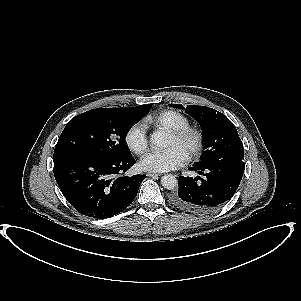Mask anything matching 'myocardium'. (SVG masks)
<instances>
[{
	"instance_id": "obj_1",
	"label": "myocardium",
	"mask_w": 301,
	"mask_h": 301,
	"mask_svg": "<svg viewBox=\"0 0 301 301\" xmlns=\"http://www.w3.org/2000/svg\"><path fill=\"white\" fill-rule=\"evenodd\" d=\"M167 136L170 140L184 144L183 157L190 159L198 153L202 145L201 134L192 128L170 131Z\"/></svg>"
}]
</instances>
